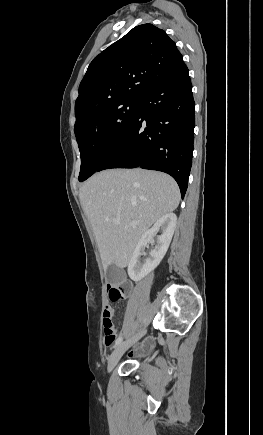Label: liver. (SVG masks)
Wrapping results in <instances>:
<instances>
[{"instance_id": "6515ba94", "label": "liver", "mask_w": 263, "mask_h": 435, "mask_svg": "<svg viewBox=\"0 0 263 435\" xmlns=\"http://www.w3.org/2000/svg\"><path fill=\"white\" fill-rule=\"evenodd\" d=\"M79 198L104 269L111 264L123 269L148 228L178 207L180 191L175 180L161 172L110 169L91 176ZM114 219L120 223L114 224Z\"/></svg>"}]
</instances>
